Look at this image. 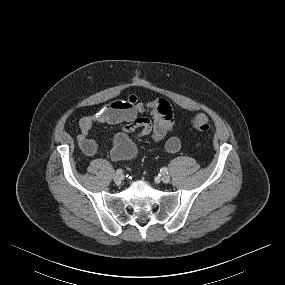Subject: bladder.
<instances>
[{"instance_id": "obj_1", "label": "bladder", "mask_w": 285, "mask_h": 285, "mask_svg": "<svg viewBox=\"0 0 285 285\" xmlns=\"http://www.w3.org/2000/svg\"><path fill=\"white\" fill-rule=\"evenodd\" d=\"M138 154V146L126 134H117L111 144L110 155L115 160H131Z\"/></svg>"}]
</instances>
